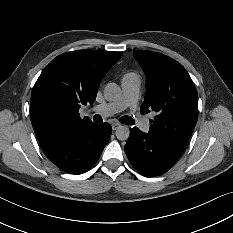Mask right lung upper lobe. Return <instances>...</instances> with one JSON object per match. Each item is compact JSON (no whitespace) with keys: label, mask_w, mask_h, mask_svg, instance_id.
<instances>
[{"label":"right lung upper lobe","mask_w":233,"mask_h":233,"mask_svg":"<svg viewBox=\"0 0 233 233\" xmlns=\"http://www.w3.org/2000/svg\"><path fill=\"white\" fill-rule=\"evenodd\" d=\"M122 52L71 51L57 56L42 71L31 96L30 118L40 145L94 123L81 119V105L93 104L106 72Z\"/></svg>","instance_id":"obj_1"}]
</instances>
